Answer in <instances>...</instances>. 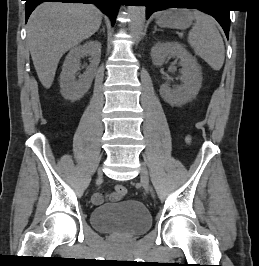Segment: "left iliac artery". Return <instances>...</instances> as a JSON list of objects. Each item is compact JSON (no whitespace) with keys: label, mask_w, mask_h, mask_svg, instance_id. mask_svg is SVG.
Returning a JSON list of instances; mask_svg holds the SVG:
<instances>
[{"label":"left iliac artery","mask_w":259,"mask_h":266,"mask_svg":"<svg viewBox=\"0 0 259 266\" xmlns=\"http://www.w3.org/2000/svg\"><path fill=\"white\" fill-rule=\"evenodd\" d=\"M155 191V188H151V192H154Z\"/></svg>","instance_id":"44dca946"}]
</instances>
